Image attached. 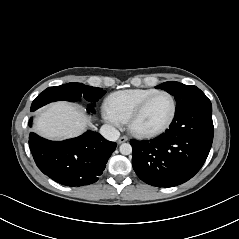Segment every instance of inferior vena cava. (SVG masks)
<instances>
[{
	"instance_id": "inferior-vena-cava-1",
	"label": "inferior vena cava",
	"mask_w": 239,
	"mask_h": 239,
	"mask_svg": "<svg viewBox=\"0 0 239 239\" xmlns=\"http://www.w3.org/2000/svg\"><path fill=\"white\" fill-rule=\"evenodd\" d=\"M100 134L109 141H116L120 136V132L109 124H104L101 127Z\"/></svg>"
}]
</instances>
